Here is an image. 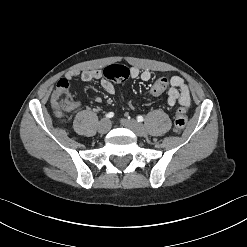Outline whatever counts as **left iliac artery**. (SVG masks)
Listing matches in <instances>:
<instances>
[{
	"mask_svg": "<svg viewBox=\"0 0 247 247\" xmlns=\"http://www.w3.org/2000/svg\"><path fill=\"white\" fill-rule=\"evenodd\" d=\"M137 121L142 122V121H144V118L141 115H139V116H137Z\"/></svg>",
	"mask_w": 247,
	"mask_h": 247,
	"instance_id": "1",
	"label": "left iliac artery"
}]
</instances>
